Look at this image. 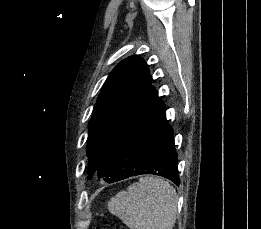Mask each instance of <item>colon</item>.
I'll return each instance as SVG.
<instances>
[{"label":"colon","mask_w":261,"mask_h":229,"mask_svg":"<svg viewBox=\"0 0 261 229\" xmlns=\"http://www.w3.org/2000/svg\"><path fill=\"white\" fill-rule=\"evenodd\" d=\"M97 229H101V227L98 226Z\"/></svg>","instance_id":"5ec220e1"}]
</instances>
